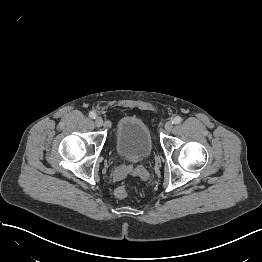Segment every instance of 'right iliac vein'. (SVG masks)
Segmentation results:
<instances>
[{
    "instance_id": "right-iliac-vein-1",
    "label": "right iliac vein",
    "mask_w": 262,
    "mask_h": 262,
    "mask_svg": "<svg viewBox=\"0 0 262 262\" xmlns=\"http://www.w3.org/2000/svg\"><path fill=\"white\" fill-rule=\"evenodd\" d=\"M95 125L97 126V127H101L102 125H103V119L101 118V117H96L95 118Z\"/></svg>"
}]
</instances>
